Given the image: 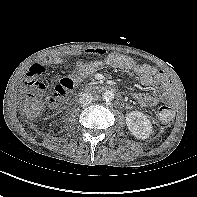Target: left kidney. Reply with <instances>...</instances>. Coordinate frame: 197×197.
Returning <instances> with one entry per match:
<instances>
[{
    "label": "left kidney",
    "mask_w": 197,
    "mask_h": 197,
    "mask_svg": "<svg viewBox=\"0 0 197 197\" xmlns=\"http://www.w3.org/2000/svg\"><path fill=\"white\" fill-rule=\"evenodd\" d=\"M126 124L131 134L138 139H147L152 133V124L142 112L132 111L128 113Z\"/></svg>",
    "instance_id": "left-kidney-1"
}]
</instances>
